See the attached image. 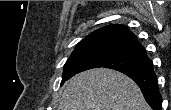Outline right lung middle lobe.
<instances>
[{"instance_id": "dd1d6c3e", "label": "right lung middle lobe", "mask_w": 171, "mask_h": 110, "mask_svg": "<svg viewBox=\"0 0 171 110\" xmlns=\"http://www.w3.org/2000/svg\"><path fill=\"white\" fill-rule=\"evenodd\" d=\"M106 67L120 72L146 71L152 61L133 49L103 43H89L75 48L64 65L61 85L73 75L86 69Z\"/></svg>"}]
</instances>
